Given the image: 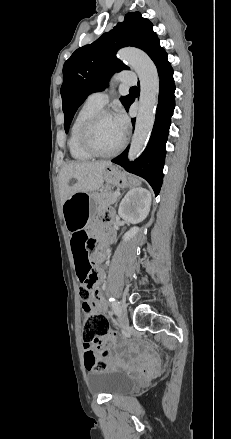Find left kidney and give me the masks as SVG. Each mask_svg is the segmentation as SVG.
<instances>
[{
  "instance_id": "obj_1",
  "label": "left kidney",
  "mask_w": 231,
  "mask_h": 439,
  "mask_svg": "<svg viewBox=\"0 0 231 439\" xmlns=\"http://www.w3.org/2000/svg\"><path fill=\"white\" fill-rule=\"evenodd\" d=\"M151 205V193L142 187L131 189L122 199L118 214L119 216L132 224L142 222L148 215ZM139 228L132 227L123 236L124 241H129L137 233Z\"/></svg>"
}]
</instances>
